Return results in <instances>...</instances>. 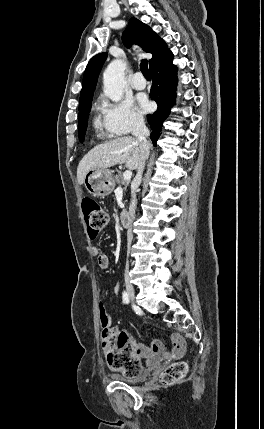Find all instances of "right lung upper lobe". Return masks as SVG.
Instances as JSON below:
<instances>
[{
	"label": "right lung upper lobe",
	"mask_w": 264,
	"mask_h": 429,
	"mask_svg": "<svg viewBox=\"0 0 264 429\" xmlns=\"http://www.w3.org/2000/svg\"><path fill=\"white\" fill-rule=\"evenodd\" d=\"M122 39L127 47H130L132 43H137L145 52L153 55L149 60L150 68L169 51L164 40L154 33L149 26L136 18L130 19ZM106 58L107 53H99L88 63L83 77L79 106L91 103L97 78Z\"/></svg>",
	"instance_id": "1"
}]
</instances>
